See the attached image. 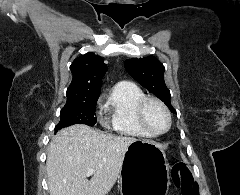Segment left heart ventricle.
<instances>
[{"label":"left heart ventricle","mask_w":240,"mask_h":195,"mask_svg":"<svg viewBox=\"0 0 240 195\" xmlns=\"http://www.w3.org/2000/svg\"><path fill=\"white\" fill-rule=\"evenodd\" d=\"M147 120L149 124L157 131L166 128L167 119L163 111L155 104H150L146 110Z\"/></svg>","instance_id":"obj_1"}]
</instances>
